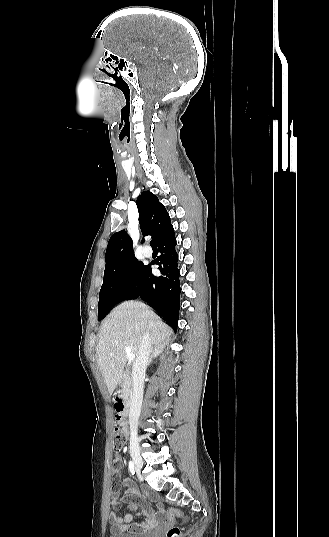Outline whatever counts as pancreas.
I'll return each instance as SVG.
<instances>
[{
    "label": "pancreas",
    "mask_w": 329,
    "mask_h": 537,
    "mask_svg": "<svg viewBox=\"0 0 329 537\" xmlns=\"http://www.w3.org/2000/svg\"><path fill=\"white\" fill-rule=\"evenodd\" d=\"M120 387H121V393H123L124 395H127V394L131 393V390L128 387L127 381H123L121 383Z\"/></svg>",
    "instance_id": "obj_1"
}]
</instances>
